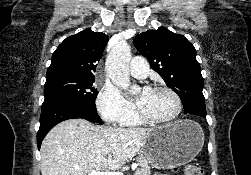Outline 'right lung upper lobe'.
Here are the masks:
<instances>
[{
  "label": "right lung upper lobe",
  "mask_w": 251,
  "mask_h": 175,
  "mask_svg": "<svg viewBox=\"0 0 251 175\" xmlns=\"http://www.w3.org/2000/svg\"><path fill=\"white\" fill-rule=\"evenodd\" d=\"M107 42V35L90 29L67 37L53 53L46 77L94 78L95 63L102 57Z\"/></svg>",
  "instance_id": "cb5924a9"
}]
</instances>
